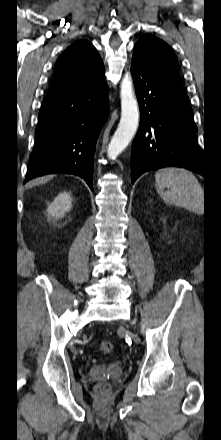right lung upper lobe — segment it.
<instances>
[{"label":"right lung upper lobe","instance_id":"right-lung-upper-lobe-1","mask_svg":"<svg viewBox=\"0 0 221 440\" xmlns=\"http://www.w3.org/2000/svg\"><path fill=\"white\" fill-rule=\"evenodd\" d=\"M104 82V64L96 48L87 40H79L58 58L48 95L92 89Z\"/></svg>","mask_w":221,"mask_h":440}]
</instances>
